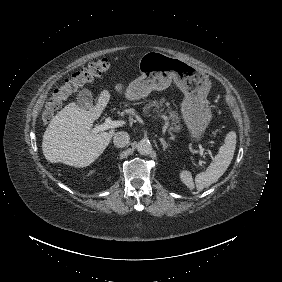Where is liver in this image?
<instances>
[{"label":"liver","mask_w":282,"mask_h":282,"mask_svg":"<svg viewBox=\"0 0 282 282\" xmlns=\"http://www.w3.org/2000/svg\"><path fill=\"white\" fill-rule=\"evenodd\" d=\"M108 100L109 95L103 92L97 108L92 111L79 110L74 103L61 110L44 133L45 158L51 163L61 161L76 167L94 161L112 137V133L91 131L93 121L100 116Z\"/></svg>","instance_id":"obj_1"}]
</instances>
